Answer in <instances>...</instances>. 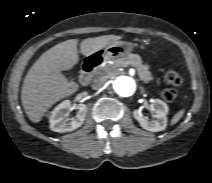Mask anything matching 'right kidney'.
Instances as JSON below:
<instances>
[{
    "label": "right kidney",
    "instance_id": "right-kidney-1",
    "mask_svg": "<svg viewBox=\"0 0 212 183\" xmlns=\"http://www.w3.org/2000/svg\"><path fill=\"white\" fill-rule=\"evenodd\" d=\"M70 108L71 102L69 100H65L56 106L51 112L49 122L50 129L52 131L59 133L69 132L79 128L83 124L86 117L87 106L85 104H81L76 117L68 119L67 111Z\"/></svg>",
    "mask_w": 212,
    "mask_h": 183
}]
</instances>
